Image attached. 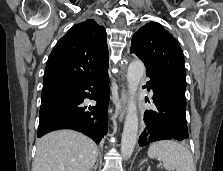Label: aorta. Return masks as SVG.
<instances>
[{
	"label": "aorta",
	"mask_w": 223,
	"mask_h": 171,
	"mask_svg": "<svg viewBox=\"0 0 223 171\" xmlns=\"http://www.w3.org/2000/svg\"><path fill=\"white\" fill-rule=\"evenodd\" d=\"M144 72L145 66L142 61L133 60L129 64L127 71L129 101L121 139V154L124 159L131 157L137 141L139 121L135 96Z\"/></svg>",
	"instance_id": "obj_1"
}]
</instances>
